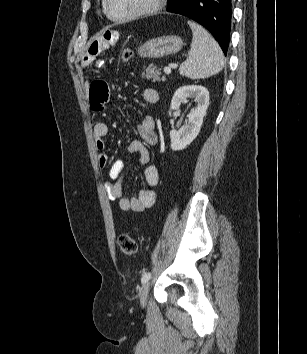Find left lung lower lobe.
<instances>
[{"mask_svg":"<svg viewBox=\"0 0 307 354\" xmlns=\"http://www.w3.org/2000/svg\"><path fill=\"white\" fill-rule=\"evenodd\" d=\"M167 11L181 14L204 26L227 54L231 32V0H172Z\"/></svg>","mask_w":307,"mask_h":354,"instance_id":"left-lung-lower-lobe-1","label":"left lung lower lobe"}]
</instances>
